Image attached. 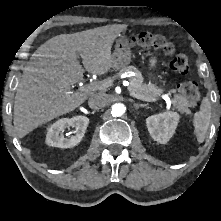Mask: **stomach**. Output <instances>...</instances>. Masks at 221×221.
I'll return each mask as SVG.
<instances>
[{"label":"stomach","mask_w":221,"mask_h":221,"mask_svg":"<svg viewBox=\"0 0 221 221\" xmlns=\"http://www.w3.org/2000/svg\"><path fill=\"white\" fill-rule=\"evenodd\" d=\"M131 62V46L127 37L123 34L119 35L116 40L115 51L112 54V67L114 69L125 68ZM157 63V58L152 56L149 59L150 67H154Z\"/></svg>","instance_id":"1"}]
</instances>
